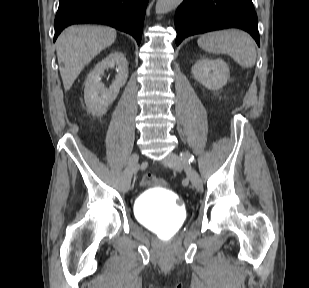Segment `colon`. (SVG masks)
I'll use <instances>...</instances> for the list:
<instances>
[{
    "label": "colon",
    "instance_id": "colon-1",
    "mask_svg": "<svg viewBox=\"0 0 309 288\" xmlns=\"http://www.w3.org/2000/svg\"><path fill=\"white\" fill-rule=\"evenodd\" d=\"M140 184L142 186H163L165 183L153 175H145L142 177Z\"/></svg>",
    "mask_w": 309,
    "mask_h": 288
}]
</instances>
